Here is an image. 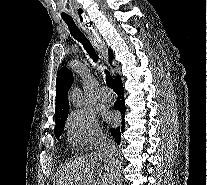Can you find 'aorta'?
Masks as SVG:
<instances>
[{
    "label": "aorta",
    "mask_w": 207,
    "mask_h": 185,
    "mask_svg": "<svg viewBox=\"0 0 207 185\" xmlns=\"http://www.w3.org/2000/svg\"><path fill=\"white\" fill-rule=\"evenodd\" d=\"M71 100L73 105H75L76 107H80L82 105L83 96L80 88L78 87L73 88L71 94Z\"/></svg>",
    "instance_id": "762f6f07"
}]
</instances>
